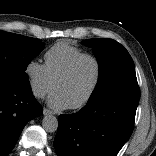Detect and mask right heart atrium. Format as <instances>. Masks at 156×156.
Returning a JSON list of instances; mask_svg holds the SVG:
<instances>
[{"label": "right heart atrium", "mask_w": 156, "mask_h": 156, "mask_svg": "<svg viewBox=\"0 0 156 156\" xmlns=\"http://www.w3.org/2000/svg\"><path fill=\"white\" fill-rule=\"evenodd\" d=\"M25 76L32 94L39 99L44 98L54 88V82L48 75L44 64L30 60L24 69Z\"/></svg>", "instance_id": "d8ad5b80"}]
</instances>
